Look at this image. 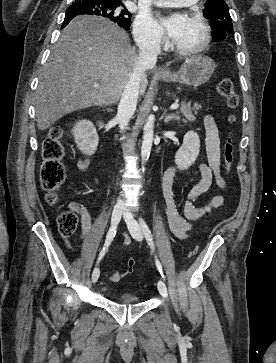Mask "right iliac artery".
<instances>
[{
    "instance_id": "obj_1",
    "label": "right iliac artery",
    "mask_w": 276,
    "mask_h": 363,
    "mask_svg": "<svg viewBox=\"0 0 276 363\" xmlns=\"http://www.w3.org/2000/svg\"><path fill=\"white\" fill-rule=\"evenodd\" d=\"M115 235H116V227L112 226L107 233L104 247L99 254V260L102 259V257L105 255V252L107 251L109 245L113 241V238L115 237ZM99 275H100V273H99ZM99 275H98V277H99Z\"/></svg>"
}]
</instances>
